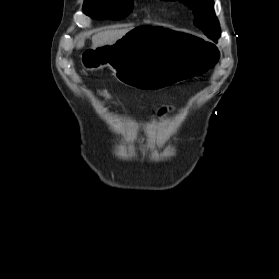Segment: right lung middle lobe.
Returning a JSON list of instances; mask_svg holds the SVG:
<instances>
[{"mask_svg": "<svg viewBox=\"0 0 279 279\" xmlns=\"http://www.w3.org/2000/svg\"><path fill=\"white\" fill-rule=\"evenodd\" d=\"M132 5L133 0H85L83 11L91 18L118 20L130 13Z\"/></svg>", "mask_w": 279, "mask_h": 279, "instance_id": "dd1d6c3e", "label": "right lung middle lobe"}]
</instances>
